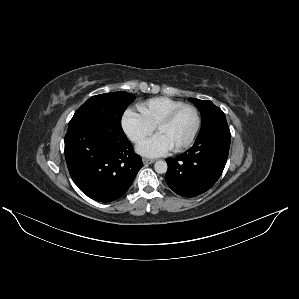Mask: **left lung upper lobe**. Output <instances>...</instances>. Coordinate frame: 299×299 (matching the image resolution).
<instances>
[{
  "label": "left lung upper lobe",
  "mask_w": 299,
  "mask_h": 299,
  "mask_svg": "<svg viewBox=\"0 0 299 299\" xmlns=\"http://www.w3.org/2000/svg\"><path fill=\"white\" fill-rule=\"evenodd\" d=\"M202 116V126L198 136H201L218 127H228L225 114L211 101L191 98Z\"/></svg>",
  "instance_id": "5c2ea615"
}]
</instances>
